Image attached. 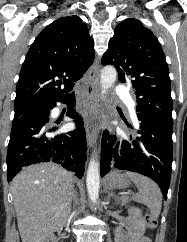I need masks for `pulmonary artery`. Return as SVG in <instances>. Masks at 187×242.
I'll list each match as a JSON object with an SVG mask.
<instances>
[{
	"label": "pulmonary artery",
	"instance_id": "pulmonary-artery-1",
	"mask_svg": "<svg viewBox=\"0 0 187 242\" xmlns=\"http://www.w3.org/2000/svg\"><path fill=\"white\" fill-rule=\"evenodd\" d=\"M127 89L124 87V86H119L118 88H117V95L119 96V97H125L126 95H127ZM130 110L132 111V113L135 115V112H134V104L132 103L131 105H130Z\"/></svg>",
	"mask_w": 187,
	"mask_h": 242
}]
</instances>
